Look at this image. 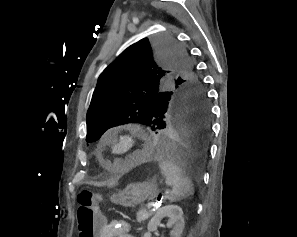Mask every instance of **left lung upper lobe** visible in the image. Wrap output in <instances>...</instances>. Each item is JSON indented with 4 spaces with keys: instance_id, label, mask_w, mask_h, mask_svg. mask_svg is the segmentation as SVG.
<instances>
[{
    "instance_id": "1",
    "label": "left lung upper lobe",
    "mask_w": 297,
    "mask_h": 237,
    "mask_svg": "<svg viewBox=\"0 0 297 237\" xmlns=\"http://www.w3.org/2000/svg\"><path fill=\"white\" fill-rule=\"evenodd\" d=\"M207 102L187 51L172 37L144 38L99 76L87 112V142L130 122L153 131L176 102ZM208 103V102H207Z\"/></svg>"
}]
</instances>
